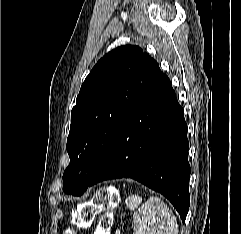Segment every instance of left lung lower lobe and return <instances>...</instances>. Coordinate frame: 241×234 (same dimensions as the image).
Instances as JSON below:
<instances>
[{
  "mask_svg": "<svg viewBox=\"0 0 241 234\" xmlns=\"http://www.w3.org/2000/svg\"><path fill=\"white\" fill-rule=\"evenodd\" d=\"M186 128L171 82L159 68L123 121L89 186L108 179H135L169 199L184 222L190 205Z\"/></svg>",
  "mask_w": 241,
  "mask_h": 234,
  "instance_id": "1",
  "label": "left lung lower lobe"
}]
</instances>
